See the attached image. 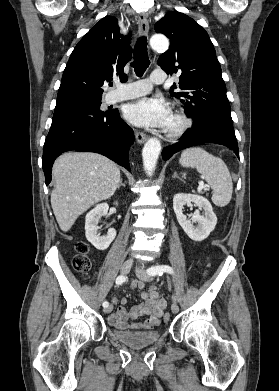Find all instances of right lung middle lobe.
Returning <instances> with one entry per match:
<instances>
[{
    "label": "right lung middle lobe",
    "instance_id": "obj_1",
    "mask_svg": "<svg viewBox=\"0 0 279 391\" xmlns=\"http://www.w3.org/2000/svg\"><path fill=\"white\" fill-rule=\"evenodd\" d=\"M101 100L79 103L69 107L54 110L53 118L60 116H71V115H93L102 116L107 114L109 111L100 110Z\"/></svg>",
    "mask_w": 279,
    "mask_h": 391
}]
</instances>
